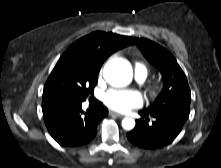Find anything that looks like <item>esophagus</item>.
Wrapping results in <instances>:
<instances>
[{"instance_id":"esophagus-1","label":"esophagus","mask_w":221,"mask_h":168,"mask_svg":"<svg viewBox=\"0 0 221 168\" xmlns=\"http://www.w3.org/2000/svg\"><path fill=\"white\" fill-rule=\"evenodd\" d=\"M110 115L118 117V118H123L124 117V115L116 113V112H113V111L110 112Z\"/></svg>"}]
</instances>
